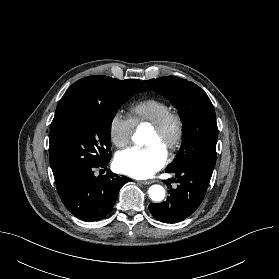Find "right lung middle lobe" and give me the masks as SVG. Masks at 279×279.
Listing matches in <instances>:
<instances>
[{
  "label": "right lung middle lobe",
  "instance_id": "obj_1",
  "mask_svg": "<svg viewBox=\"0 0 279 279\" xmlns=\"http://www.w3.org/2000/svg\"><path fill=\"white\" fill-rule=\"evenodd\" d=\"M99 97L70 100L54 117L50 128V161L55 181L86 167L110 160V128L120 106L136 92L132 83L102 77L97 80Z\"/></svg>",
  "mask_w": 279,
  "mask_h": 279
}]
</instances>
